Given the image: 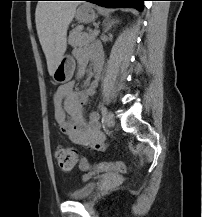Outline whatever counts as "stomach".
I'll return each mask as SVG.
<instances>
[{
	"instance_id": "stomach-1",
	"label": "stomach",
	"mask_w": 202,
	"mask_h": 217,
	"mask_svg": "<svg viewBox=\"0 0 202 217\" xmlns=\"http://www.w3.org/2000/svg\"><path fill=\"white\" fill-rule=\"evenodd\" d=\"M76 18L79 22L89 23L95 20L96 13L91 5H83L77 9ZM74 69V61L70 57H63L52 77L57 83H66L71 80Z\"/></svg>"
}]
</instances>
